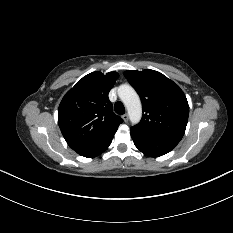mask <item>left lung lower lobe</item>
Returning a JSON list of instances; mask_svg holds the SVG:
<instances>
[{
    "label": "left lung lower lobe",
    "instance_id": "left-lung-lower-lobe-1",
    "mask_svg": "<svg viewBox=\"0 0 233 233\" xmlns=\"http://www.w3.org/2000/svg\"><path fill=\"white\" fill-rule=\"evenodd\" d=\"M131 130V137L135 146L145 155L151 157L162 156L171 151L179 141L155 135H147Z\"/></svg>",
    "mask_w": 233,
    "mask_h": 233
}]
</instances>
